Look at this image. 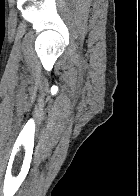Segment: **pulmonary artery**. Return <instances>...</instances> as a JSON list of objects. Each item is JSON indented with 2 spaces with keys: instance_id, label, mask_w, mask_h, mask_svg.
Instances as JSON below:
<instances>
[{
  "instance_id": "1",
  "label": "pulmonary artery",
  "mask_w": 140,
  "mask_h": 196,
  "mask_svg": "<svg viewBox=\"0 0 140 196\" xmlns=\"http://www.w3.org/2000/svg\"><path fill=\"white\" fill-rule=\"evenodd\" d=\"M28 192H46V191H28Z\"/></svg>"
}]
</instances>
